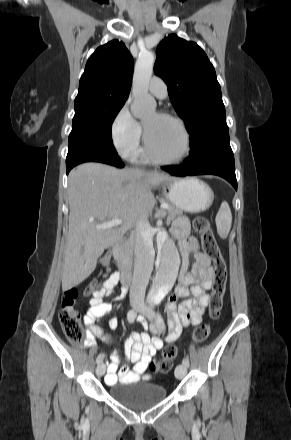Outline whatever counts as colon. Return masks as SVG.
Returning a JSON list of instances; mask_svg holds the SVG:
<instances>
[{
  "mask_svg": "<svg viewBox=\"0 0 291 440\" xmlns=\"http://www.w3.org/2000/svg\"><path fill=\"white\" fill-rule=\"evenodd\" d=\"M193 228L196 233L200 234L203 250L214 264V279L212 286V296L210 300V314L213 318L219 315L222 307L223 295L225 292L227 281V266L224 257L221 254L220 247L216 241L214 233L211 229L210 222L207 218L199 216L193 220ZM110 264V256H106L102 260V275L106 276L108 266ZM102 291L99 282L94 281L92 285L82 290V296L89 298ZM80 296L79 290L72 287L64 293L62 298L61 310L59 312V323L61 329L67 339L72 343H81L85 340L84 329L79 321V314L75 308L76 302ZM210 333L208 325H200L194 333V341L200 342L205 340ZM178 354L177 346L169 344L162 352L159 370L167 372L170 369L171 362Z\"/></svg>",
  "mask_w": 291,
  "mask_h": 440,
  "instance_id": "obj_1",
  "label": "colon"
}]
</instances>
